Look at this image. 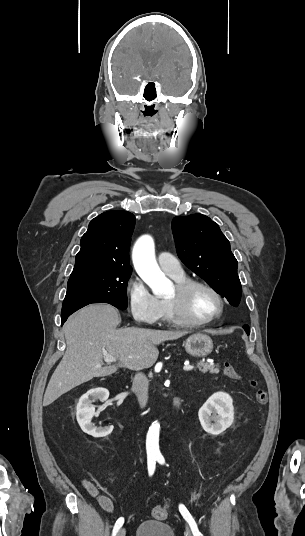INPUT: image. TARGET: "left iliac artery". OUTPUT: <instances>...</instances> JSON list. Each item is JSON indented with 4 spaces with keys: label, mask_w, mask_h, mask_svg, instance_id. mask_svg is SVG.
Listing matches in <instances>:
<instances>
[{
    "label": "left iliac artery",
    "mask_w": 305,
    "mask_h": 536,
    "mask_svg": "<svg viewBox=\"0 0 305 536\" xmlns=\"http://www.w3.org/2000/svg\"><path fill=\"white\" fill-rule=\"evenodd\" d=\"M157 461L160 464H163L165 462L164 458L162 456L157 457ZM179 510L184 517V519L189 523L190 528L192 530L193 536H202V534L199 532L196 522L194 521L193 517L189 513V511L186 509L184 505L179 506Z\"/></svg>",
    "instance_id": "1"
}]
</instances>
